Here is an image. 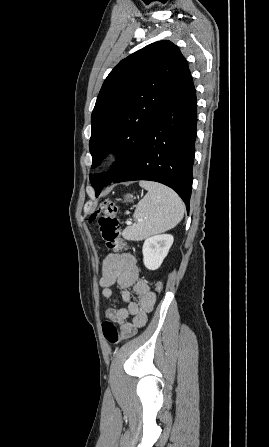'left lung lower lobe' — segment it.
I'll return each instance as SVG.
<instances>
[{
	"label": "left lung lower lobe",
	"mask_w": 269,
	"mask_h": 447,
	"mask_svg": "<svg viewBox=\"0 0 269 447\" xmlns=\"http://www.w3.org/2000/svg\"><path fill=\"white\" fill-rule=\"evenodd\" d=\"M196 107V91L185 61L160 117L146 133L127 168L112 182L150 180L165 184L179 194L188 211L195 154ZM101 190L96 191V196Z\"/></svg>",
	"instance_id": "left-lung-lower-lobe-1"
}]
</instances>
